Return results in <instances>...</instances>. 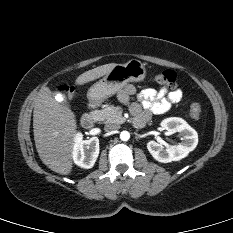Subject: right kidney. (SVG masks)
Returning <instances> with one entry per match:
<instances>
[{
	"mask_svg": "<svg viewBox=\"0 0 233 233\" xmlns=\"http://www.w3.org/2000/svg\"><path fill=\"white\" fill-rule=\"evenodd\" d=\"M82 136L81 133L75 134L72 157L76 165L89 169L94 166L99 155V139L92 137L83 140Z\"/></svg>",
	"mask_w": 233,
	"mask_h": 233,
	"instance_id": "obj_1",
	"label": "right kidney"
}]
</instances>
